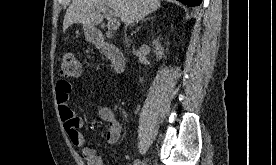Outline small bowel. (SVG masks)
Wrapping results in <instances>:
<instances>
[{
	"label": "small bowel",
	"instance_id": "c3829d8e",
	"mask_svg": "<svg viewBox=\"0 0 276 165\" xmlns=\"http://www.w3.org/2000/svg\"><path fill=\"white\" fill-rule=\"evenodd\" d=\"M73 92V86L66 80H60L56 84V102L59 109L61 121L63 123L65 132L73 146L78 148L86 162V165H103L100 156L96 151L85 144V139L80 129L84 125V121L79 117L70 105L69 98ZM96 94L95 90H87L80 92V96L87 97ZM98 120L90 124L92 130L99 126V123L106 122L108 130L106 133V140L109 144H115L121 133V124L116 118L113 110L104 105H95Z\"/></svg>",
	"mask_w": 276,
	"mask_h": 165
}]
</instances>
